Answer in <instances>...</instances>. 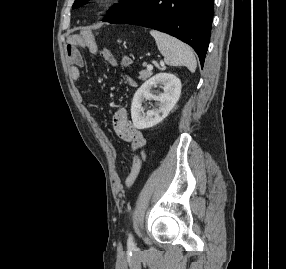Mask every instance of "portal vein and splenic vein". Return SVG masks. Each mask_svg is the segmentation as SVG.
<instances>
[{"label": "portal vein and splenic vein", "mask_w": 286, "mask_h": 269, "mask_svg": "<svg viewBox=\"0 0 286 269\" xmlns=\"http://www.w3.org/2000/svg\"><path fill=\"white\" fill-rule=\"evenodd\" d=\"M147 70L149 71L153 70V66L151 64L147 65Z\"/></svg>", "instance_id": "portal-vein-and-splenic-vein-1"}]
</instances>
